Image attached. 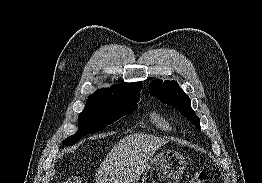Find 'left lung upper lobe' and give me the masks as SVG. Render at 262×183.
Masks as SVG:
<instances>
[{"label": "left lung upper lobe", "instance_id": "obj_1", "mask_svg": "<svg viewBox=\"0 0 262 183\" xmlns=\"http://www.w3.org/2000/svg\"><path fill=\"white\" fill-rule=\"evenodd\" d=\"M151 94L161 102L171 105L179 110L187 119L198 129L200 128V119L192 110L190 98L178 86L176 81L155 80L150 84Z\"/></svg>", "mask_w": 262, "mask_h": 183}]
</instances>
